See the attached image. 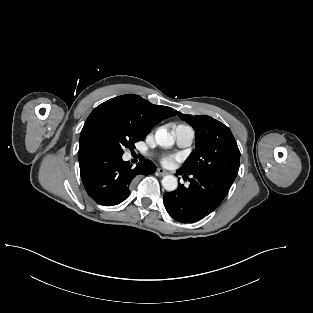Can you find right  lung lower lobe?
Here are the masks:
<instances>
[{
    "mask_svg": "<svg viewBox=\"0 0 313 313\" xmlns=\"http://www.w3.org/2000/svg\"><path fill=\"white\" fill-rule=\"evenodd\" d=\"M80 175L88 195L98 204L113 206L130 195V188L138 175L155 172L149 160L139 162L135 168L122 155L95 151L79 157Z\"/></svg>",
    "mask_w": 313,
    "mask_h": 313,
    "instance_id": "obj_1",
    "label": "right lung lower lobe"
}]
</instances>
